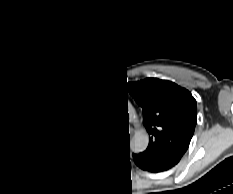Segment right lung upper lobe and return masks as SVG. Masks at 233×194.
Listing matches in <instances>:
<instances>
[{"mask_svg":"<svg viewBox=\"0 0 233 194\" xmlns=\"http://www.w3.org/2000/svg\"><path fill=\"white\" fill-rule=\"evenodd\" d=\"M90 97L85 91L67 92L50 105L47 127L57 154L72 164H89L101 152L102 140L93 132Z\"/></svg>","mask_w":233,"mask_h":194,"instance_id":"1","label":"right lung upper lobe"}]
</instances>
